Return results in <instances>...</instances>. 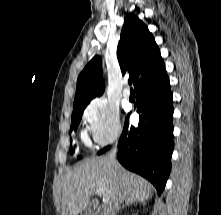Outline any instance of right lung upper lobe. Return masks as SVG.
<instances>
[{
    "mask_svg": "<svg viewBox=\"0 0 221 215\" xmlns=\"http://www.w3.org/2000/svg\"><path fill=\"white\" fill-rule=\"evenodd\" d=\"M117 58L122 74H129L135 80V88L165 70L153 35L134 14L125 18L117 47ZM104 89L102 61L101 57L96 55L78 77L74 105L89 103L93 98L101 96Z\"/></svg>",
    "mask_w": 221,
    "mask_h": 215,
    "instance_id": "right-lung-upper-lobe-1",
    "label": "right lung upper lobe"
}]
</instances>
